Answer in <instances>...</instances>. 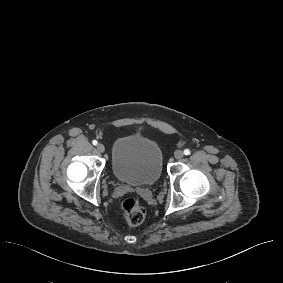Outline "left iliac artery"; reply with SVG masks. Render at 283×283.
Listing matches in <instances>:
<instances>
[{"label": "left iliac artery", "instance_id": "1", "mask_svg": "<svg viewBox=\"0 0 283 283\" xmlns=\"http://www.w3.org/2000/svg\"><path fill=\"white\" fill-rule=\"evenodd\" d=\"M184 154H185V155H189V154H190V150H189V149H185V150H184Z\"/></svg>", "mask_w": 283, "mask_h": 283}]
</instances>
